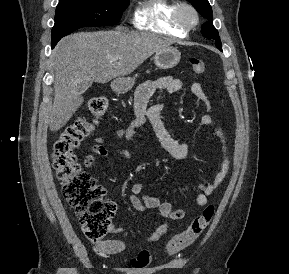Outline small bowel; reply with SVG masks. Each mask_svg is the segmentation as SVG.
I'll list each match as a JSON object with an SVG mask.
<instances>
[{
    "label": "small bowel",
    "mask_w": 289,
    "mask_h": 274,
    "mask_svg": "<svg viewBox=\"0 0 289 274\" xmlns=\"http://www.w3.org/2000/svg\"><path fill=\"white\" fill-rule=\"evenodd\" d=\"M182 86V81L173 77H162L154 81L143 83L138 88L135 96L134 112L136 118L126 130H117V136L119 138H124L126 141H130L134 129L147 120L151 124L161 147L168 154L178 159L188 157L192 150L191 146L187 143L175 140L164 126L161 118L163 104L161 102L150 104L151 99L157 93H176L182 89ZM191 92L206 108L207 112L201 118L202 125L213 131V134L218 139L219 143V146L216 148L217 160L212 179L207 183L199 185V193L194 199V203L197 207H203L208 202V196H210L223 182L229 169V156L225 133L210 113L211 103L204 92L202 85L198 82L193 83L191 85ZM103 142L104 139L102 137L96 138V143L91 147L93 154L87 155L84 159V165L87 168H92L96 164V155H108L109 151L103 145ZM118 152L125 158L131 156V152L128 148H122ZM129 200L136 211L143 212L148 209H157L164 219L163 223L146 238L148 242L160 240L168 231L170 221L180 220L185 216L184 209L174 208L170 202L162 201L158 197L143 193V185L141 183H135L132 186ZM111 232L120 234L124 232V229L121 227H112ZM95 249L99 254L109 256L123 253L129 249V246L125 241L120 239H105L96 242Z\"/></svg>",
    "instance_id": "1"
}]
</instances>
